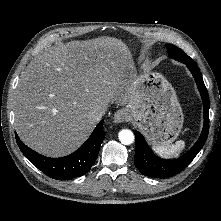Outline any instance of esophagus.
Segmentation results:
<instances>
[{"label": "esophagus", "instance_id": "34e87169", "mask_svg": "<svg viewBox=\"0 0 221 221\" xmlns=\"http://www.w3.org/2000/svg\"><path fill=\"white\" fill-rule=\"evenodd\" d=\"M128 113L125 109H119L115 112L113 120L115 123H122L127 120Z\"/></svg>", "mask_w": 221, "mask_h": 221}]
</instances>
